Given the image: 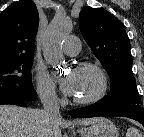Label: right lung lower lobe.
I'll list each match as a JSON object with an SVG mask.
<instances>
[{
    "mask_svg": "<svg viewBox=\"0 0 144 137\" xmlns=\"http://www.w3.org/2000/svg\"><path fill=\"white\" fill-rule=\"evenodd\" d=\"M3 104H14V105L22 106V107L26 106L23 99L12 97V96L0 97V105H3Z\"/></svg>",
    "mask_w": 144,
    "mask_h": 137,
    "instance_id": "98d812e1",
    "label": "right lung lower lobe"
}]
</instances>
